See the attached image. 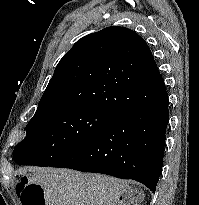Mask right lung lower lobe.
I'll use <instances>...</instances> for the list:
<instances>
[{
  "instance_id": "98d812e1",
  "label": "right lung lower lobe",
  "mask_w": 199,
  "mask_h": 205,
  "mask_svg": "<svg viewBox=\"0 0 199 205\" xmlns=\"http://www.w3.org/2000/svg\"><path fill=\"white\" fill-rule=\"evenodd\" d=\"M136 89L145 96L117 114L93 140L50 167L133 179L154 192L163 165L168 94L161 75L153 82L139 83Z\"/></svg>"
}]
</instances>
